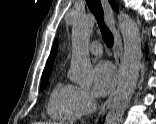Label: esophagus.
Returning <instances> with one entry per match:
<instances>
[{
    "mask_svg": "<svg viewBox=\"0 0 156 124\" xmlns=\"http://www.w3.org/2000/svg\"><path fill=\"white\" fill-rule=\"evenodd\" d=\"M102 5H103L104 13H105L106 23L109 29L111 30L115 39L114 54H115V63L117 67V78L115 80L112 92L110 93L108 99L105 101V103L100 109L99 115L101 117L105 115L106 111L108 110V108L110 107L113 101V98L119 88L120 80H121L123 69H124L123 44H122L121 35L115 26V18H114L113 10L107 0H102Z\"/></svg>",
    "mask_w": 156,
    "mask_h": 124,
    "instance_id": "esophagus-1",
    "label": "esophagus"
}]
</instances>
